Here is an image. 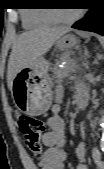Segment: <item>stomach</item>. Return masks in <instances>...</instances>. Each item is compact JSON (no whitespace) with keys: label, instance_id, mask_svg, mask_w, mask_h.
I'll return each mask as SVG.
<instances>
[{"label":"stomach","instance_id":"1","mask_svg":"<svg viewBox=\"0 0 104 169\" xmlns=\"http://www.w3.org/2000/svg\"><path fill=\"white\" fill-rule=\"evenodd\" d=\"M78 42L74 34H65L56 42L57 49H68ZM50 61L41 57L34 65L23 68L12 82L11 94L16 108L23 114L39 116L46 113L53 102L49 70Z\"/></svg>","mask_w":104,"mask_h":169}]
</instances>
